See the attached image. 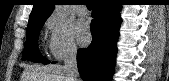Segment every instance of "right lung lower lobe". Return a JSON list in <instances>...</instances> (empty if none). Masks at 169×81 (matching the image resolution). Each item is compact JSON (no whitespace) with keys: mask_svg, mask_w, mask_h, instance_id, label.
Returning a JSON list of instances; mask_svg holds the SVG:
<instances>
[{"mask_svg":"<svg viewBox=\"0 0 169 81\" xmlns=\"http://www.w3.org/2000/svg\"><path fill=\"white\" fill-rule=\"evenodd\" d=\"M121 5L112 0H98L92 11V42L77 52V65L83 81H110L116 59Z\"/></svg>","mask_w":169,"mask_h":81,"instance_id":"right-lung-lower-lobe-1","label":"right lung lower lobe"}]
</instances>
